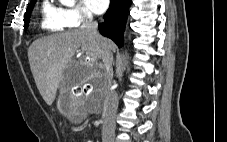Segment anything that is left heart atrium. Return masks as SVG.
Returning a JSON list of instances; mask_svg holds the SVG:
<instances>
[{"label":"left heart atrium","instance_id":"obj_1","mask_svg":"<svg viewBox=\"0 0 227 142\" xmlns=\"http://www.w3.org/2000/svg\"><path fill=\"white\" fill-rule=\"evenodd\" d=\"M109 0H84L86 6L96 14H102L109 6Z\"/></svg>","mask_w":227,"mask_h":142}]
</instances>
